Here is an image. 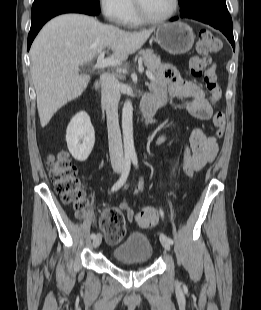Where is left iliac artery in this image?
<instances>
[{
  "label": "left iliac artery",
  "instance_id": "1",
  "mask_svg": "<svg viewBox=\"0 0 261 310\" xmlns=\"http://www.w3.org/2000/svg\"><path fill=\"white\" fill-rule=\"evenodd\" d=\"M131 160H132L134 166H135L136 168H138V159H137V156H136L135 154L131 156ZM160 213H161V216L163 217V216H164V213H163L162 210H160ZM167 239H168V241H169L171 244L173 243V240H172L170 237H167Z\"/></svg>",
  "mask_w": 261,
  "mask_h": 310
}]
</instances>
